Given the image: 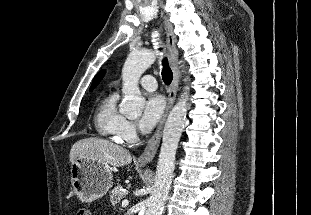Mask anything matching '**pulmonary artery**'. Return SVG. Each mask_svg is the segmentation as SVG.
I'll return each mask as SVG.
<instances>
[{
  "label": "pulmonary artery",
  "mask_w": 311,
  "mask_h": 215,
  "mask_svg": "<svg viewBox=\"0 0 311 215\" xmlns=\"http://www.w3.org/2000/svg\"><path fill=\"white\" fill-rule=\"evenodd\" d=\"M140 85L147 91H154L157 88V82L151 75H145L140 80Z\"/></svg>",
  "instance_id": "1"
}]
</instances>
